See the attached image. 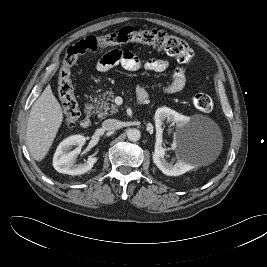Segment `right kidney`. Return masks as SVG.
I'll return each instance as SVG.
<instances>
[{
	"label": "right kidney",
	"mask_w": 267,
	"mask_h": 267,
	"mask_svg": "<svg viewBox=\"0 0 267 267\" xmlns=\"http://www.w3.org/2000/svg\"><path fill=\"white\" fill-rule=\"evenodd\" d=\"M85 141L86 138L82 135H72L59 144L53 157V166L59 173L80 175L88 172L93 167L97 162V158L93 156H90L85 163L75 164ZM72 146L77 147L70 151Z\"/></svg>",
	"instance_id": "right-kidney-1"
}]
</instances>
